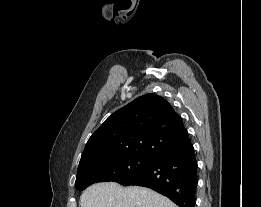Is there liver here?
<instances>
[{
    "mask_svg": "<svg viewBox=\"0 0 261 207\" xmlns=\"http://www.w3.org/2000/svg\"><path fill=\"white\" fill-rule=\"evenodd\" d=\"M81 207H178L167 197L145 187H122L116 182L89 186L80 197Z\"/></svg>",
    "mask_w": 261,
    "mask_h": 207,
    "instance_id": "obj_1",
    "label": "liver"
}]
</instances>
